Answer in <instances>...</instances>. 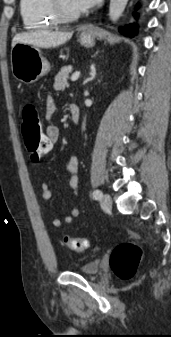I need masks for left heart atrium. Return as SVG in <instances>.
Segmentation results:
<instances>
[{"label": "left heart atrium", "instance_id": "1", "mask_svg": "<svg viewBox=\"0 0 171 337\" xmlns=\"http://www.w3.org/2000/svg\"><path fill=\"white\" fill-rule=\"evenodd\" d=\"M100 0H73V3L78 7L80 10L88 9L96 4H98Z\"/></svg>", "mask_w": 171, "mask_h": 337}]
</instances>
